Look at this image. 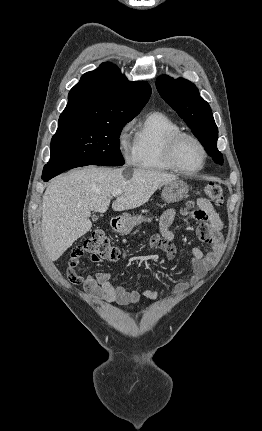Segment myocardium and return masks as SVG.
Listing matches in <instances>:
<instances>
[{"label": "myocardium", "mask_w": 262, "mask_h": 431, "mask_svg": "<svg viewBox=\"0 0 262 431\" xmlns=\"http://www.w3.org/2000/svg\"><path fill=\"white\" fill-rule=\"evenodd\" d=\"M185 140H190L193 143H195L202 153V164L197 169L188 170L185 167H183L179 162L178 148L180 144ZM207 156H208L207 150L203 145V143L197 137L191 134L182 132L171 136L168 140L167 149H166L167 160L177 171L181 172L184 175L193 176L199 173L206 165Z\"/></svg>", "instance_id": "f54148a6"}]
</instances>
